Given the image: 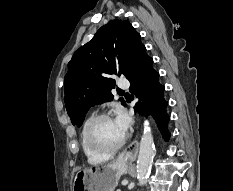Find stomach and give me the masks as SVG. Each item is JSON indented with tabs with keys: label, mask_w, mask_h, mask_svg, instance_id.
Instances as JSON below:
<instances>
[{
	"label": "stomach",
	"mask_w": 233,
	"mask_h": 191,
	"mask_svg": "<svg viewBox=\"0 0 233 191\" xmlns=\"http://www.w3.org/2000/svg\"><path fill=\"white\" fill-rule=\"evenodd\" d=\"M126 169V162L119 160L101 167L81 169L75 175L73 191H114Z\"/></svg>",
	"instance_id": "obj_1"
}]
</instances>
